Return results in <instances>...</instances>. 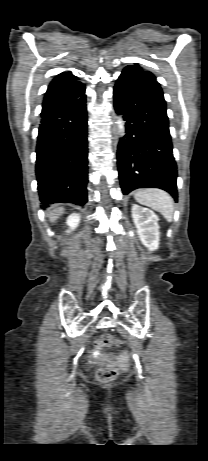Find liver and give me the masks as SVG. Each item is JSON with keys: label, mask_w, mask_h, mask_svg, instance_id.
Here are the masks:
<instances>
[{"label": "liver", "mask_w": 208, "mask_h": 461, "mask_svg": "<svg viewBox=\"0 0 208 461\" xmlns=\"http://www.w3.org/2000/svg\"><path fill=\"white\" fill-rule=\"evenodd\" d=\"M64 213L63 207H57L49 212V220L51 223L55 222Z\"/></svg>", "instance_id": "1"}]
</instances>
